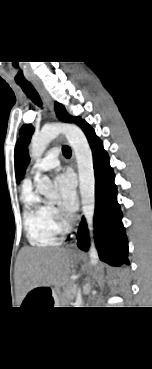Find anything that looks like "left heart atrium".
I'll use <instances>...</instances> for the list:
<instances>
[{
  "instance_id": "obj_1",
  "label": "left heart atrium",
  "mask_w": 152,
  "mask_h": 369,
  "mask_svg": "<svg viewBox=\"0 0 152 369\" xmlns=\"http://www.w3.org/2000/svg\"><path fill=\"white\" fill-rule=\"evenodd\" d=\"M55 182L60 195V209L66 214L73 213L77 208L76 184L74 177L70 173H63L56 178Z\"/></svg>"
}]
</instances>
